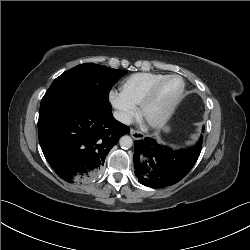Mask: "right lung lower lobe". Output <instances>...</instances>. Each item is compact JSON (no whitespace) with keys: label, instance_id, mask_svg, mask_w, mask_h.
Listing matches in <instances>:
<instances>
[{"label":"right lung lower lobe","instance_id":"right-lung-lower-lobe-1","mask_svg":"<svg viewBox=\"0 0 250 250\" xmlns=\"http://www.w3.org/2000/svg\"><path fill=\"white\" fill-rule=\"evenodd\" d=\"M129 127L112 115L108 99L76 94L39 112L43 154L67 182H88L101 171L109 150Z\"/></svg>","mask_w":250,"mask_h":250}]
</instances>
